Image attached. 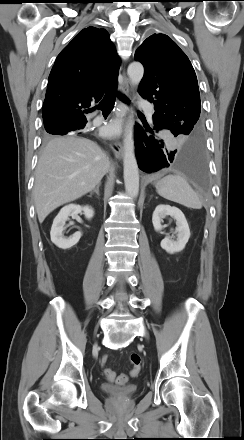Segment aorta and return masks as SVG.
Here are the masks:
<instances>
[{
  "label": "aorta",
  "instance_id": "1",
  "mask_svg": "<svg viewBox=\"0 0 244 440\" xmlns=\"http://www.w3.org/2000/svg\"><path fill=\"white\" fill-rule=\"evenodd\" d=\"M127 73L130 83L137 87L143 78V65L139 62H133L128 66ZM123 150L124 183L126 193L130 197H137L139 193V171L135 157L134 130L132 122L127 123L125 127Z\"/></svg>",
  "mask_w": 244,
  "mask_h": 440
}]
</instances>
